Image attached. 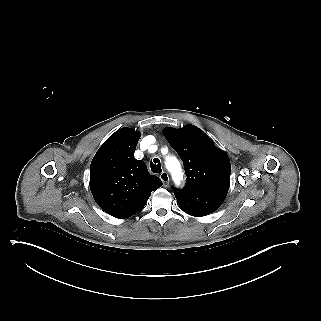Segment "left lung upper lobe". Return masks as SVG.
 Instances as JSON below:
<instances>
[{
	"label": "left lung upper lobe",
	"instance_id": "1",
	"mask_svg": "<svg viewBox=\"0 0 321 321\" xmlns=\"http://www.w3.org/2000/svg\"><path fill=\"white\" fill-rule=\"evenodd\" d=\"M163 134L183 160L187 176L183 191L229 188V157L202 130L186 125L182 129L167 127Z\"/></svg>",
	"mask_w": 321,
	"mask_h": 321
}]
</instances>
